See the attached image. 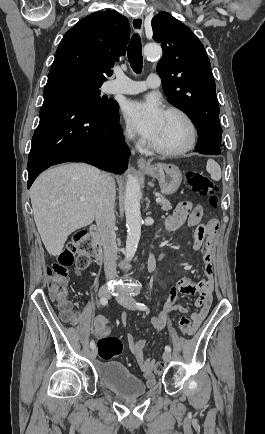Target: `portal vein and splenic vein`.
<instances>
[{
	"label": "portal vein and splenic vein",
	"instance_id": "1",
	"mask_svg": "<svg viewBox=\"0 0 265 434\" xmlns=\"http://www.w3.org/2000/svg\"><path fill=\"white\" fill-rule=\"evenodd\" d=\"M80 202H85V198H79ZM156 202H161V198H156Z\"/></svg>",
	"mask_w": 265,
	"mask_h": 434
}]
</instances>
